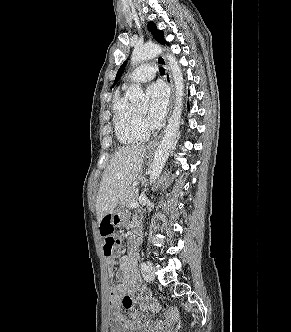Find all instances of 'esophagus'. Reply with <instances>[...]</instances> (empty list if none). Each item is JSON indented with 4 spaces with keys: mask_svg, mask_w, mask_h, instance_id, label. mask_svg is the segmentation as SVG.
<instances>
[{
    "mask_svg": "<svg viewBox=\"0 0 291 332\" xmlns=\"http://www.w3.org/2000/svg\"><path fill=\"white\" fill-rule=\"evenodd\" d=\"M156 61L158 63H160L161 65H163L164 68H165V80H166V82L168 83V85L170 86V89H171V99H170V103H171L170 112H171L172 107H173V102H174V85H173L171 72H170L168 63H167L166 59L164 58V56L158 55L157 58H156ZM159 141H160V136H158L153 141H151L148 144V148H155L158 145Z\"/></svg>",
    "mask_w": 291,
    "mask_h": 332,
    "instance_id": "obj_1",
    "label": "esophagus"
}]
</instances>
